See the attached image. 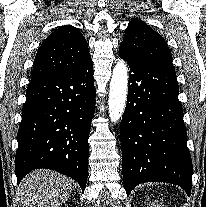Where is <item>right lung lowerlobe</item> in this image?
<instances>
[{
    "label": "right lung lower lobe",
    "instance_id": "obj_1",
    "mask_svg": "<svg viewBox=\"0 0 206 207\" xmlns=\"http://www.w3.org/2000/svg\"><path fill=\"white\" fill-rule=\"evenodd\" d=\"M95 97L92 60L71 73L29 83L17 134L18 183L46 168L73 178L84 192Z\"/></svg>",
    "mask_w": 206,
    "mask_h": 207
}]
</instances>
